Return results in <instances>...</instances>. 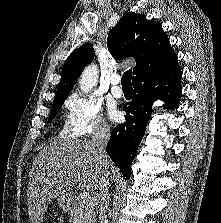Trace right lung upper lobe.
I'll list each match as a JSON object with an SVG mask.
<instances>
[{
  "instance_id": "cb5924a9",
  "label": "right lung upper lobe",
  "mask_w": 221,
  "mask_h": 223,
  "mask_svg": "<svg viewBox=\"0 0 221 223\" xmlns=\"http://www.w3.org/2000/svg\"><path fill=\"white\" fill-rule=\"evenodd\" d=\"M107 47L117 60L135 58L133 82L139 78L164 74L178 65L177 55L162 25L147 20L145 15L133 12L124 14L110 30ZM93 58L91 44L82 45L67 58L54 100L67 98L85 66Z\"/></svg>"
}]
</instances>
